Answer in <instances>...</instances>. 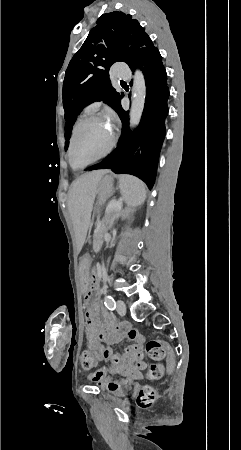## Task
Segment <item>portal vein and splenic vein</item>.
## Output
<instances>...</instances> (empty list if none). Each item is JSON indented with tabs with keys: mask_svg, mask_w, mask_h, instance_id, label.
<instances>
[{
	"mask_svg": "<svg viewBox=\"0 0 241 450\" xmlns=\"http://www.w3.org/2000/svg\"><path fill=\"white\" fill-rule=\"evenodd\" d=\"M108 207L109 208H106L105 209V212L106 213H120L121 212V207H123V202H118V204H114V202H108ZM106 213H103L102 214V217L103 218H106L107 217V214ZM102 223V222H101Z\"/></svg>",
	"mask_w": 241,
	"mask_h": 450,
	"instance_id": "18ae733b",
	"label": "portal vein and splenic vein"
}]
</instances>
